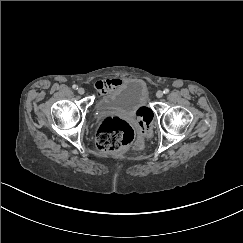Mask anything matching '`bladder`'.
Instances as JSON below:
<instances>
[{
  "label": "bladder",
  "instance_id": "31cf9c89",
  "mask_svg": "<svg viewBox=\"0 0 243 243\" xmlns=\"http://www.w3.org/2000/svg\"><path fill=\"white\" fill-rule=\"evenodd\" d=\"M147 97V85L141 78H127L95 103L99 112H112L136 117L142 111Z\"/></svg>",
  "mask_w": 243,
  "mask_h": 243
}]
</instances>
